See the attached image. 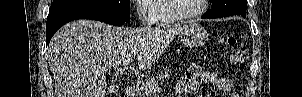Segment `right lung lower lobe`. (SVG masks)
<instances>
[{
	"instance_id": "right-lung-lower-lobe-1",
	"label": "right lung lower lobe",
	"mask_w": 302,
	"mask_h": 97,
	"mask_svg": "<svg viewBox=\"0 0 302 97\" xmlns=\"http://www.w3.org/2000/svg\"><path fill=\"white\" fill-rule=\"evenodd\" d=\"M77 19H92L110 25L120 26L126 23L123 19L103 9L79 8L48 15L46 23V46L54 33L64 24Z\"/></svg>"
}]
</instances>
